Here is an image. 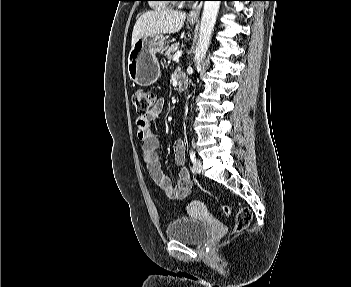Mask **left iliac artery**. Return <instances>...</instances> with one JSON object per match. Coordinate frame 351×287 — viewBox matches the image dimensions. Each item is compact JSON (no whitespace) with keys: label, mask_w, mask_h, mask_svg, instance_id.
<instances>
[{"label":"left iliac artery","mask_w":351,"mask_h":287,"mask_svg":"<svg viewBox=\"0 0 351 287\" xmlns=\"http://www.w3.org/2000/svg\"><path fill=\"white\" fill-rule=\"evenodd\" d=\"M189 155H190L191 161L194 162L196 160V156H195V152L192 149H190Z\"/></svg>","instance_id":"44dca946"}]
</instances>
